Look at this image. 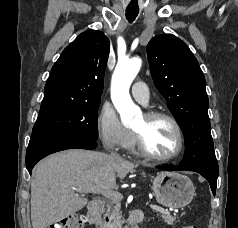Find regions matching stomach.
<instances>
[{
	"mask_svg": "<svg viewBox=\"0 0 238 228\" xmlns=\"http://www.w3.org/2000/svg\"><path fill=\"white\" fill-rule=\"evenodd\" d=\"M152 189L157 201L168 208H183L195 195L192 181L175 172H159L153 178Z\"/></svg>",
	"mask_w": 238,
	"mask_h": 228,
	"instance_id": "stomach-1",
	"label": "stomach"
}]
</instances>
